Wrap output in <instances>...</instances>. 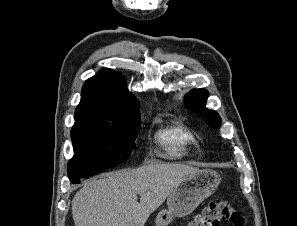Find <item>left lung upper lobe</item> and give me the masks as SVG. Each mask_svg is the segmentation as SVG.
I'll use <instances>...</instances> for the list:
<instances>
[{
  "mask_svg": "<svg viewBox=\"0 0 297 226\" xmlns=\"http://www.w3.org/2000/svg\"><path fill=\"white\" fill-rule=\"evenodd\" d=\"M207 92L204 89H195L189 92L186 96V106L193 112L197 113L210 126L218 128L221 124V118L213 110H208L206 105Z\"/></svg>",
  "mask_w": 297,
  "mask_h": 226,
  "instance_id": "left-lung-upper-lobe-1",
  "label": "left lung upper lobe"
}]
</instances>
